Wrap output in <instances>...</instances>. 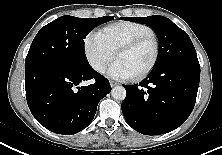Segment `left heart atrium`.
Listing matches in <instances>:
<instances>
[{
    "label": "left heart atrium",
    "instance_id": "left-heart-atrium-1",
    "mask_svg": "<svg viewBox=\"0 0 222 155\" xmlns=\"http://www.w3.org/2000/svg\"><path fill=\"white\" fill-rule=\"evenodd\" d=\"M107 74L109 77L117 80H127L132 78L134 75L131 70L126 66V64L116 59L108 68Z\"/></svg>",
    "mask_w": 222,
    "mask_h": 155
}]
</instances>
